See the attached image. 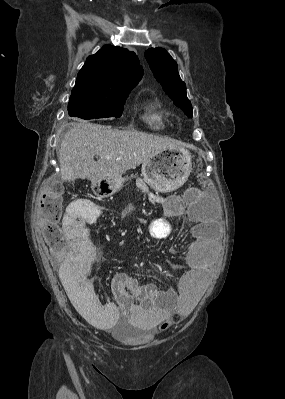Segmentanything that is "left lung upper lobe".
Here are the masks:
<instances>
[{"label":"left lung upper lobe","instance_id":"1","mask_svg":"<svg viewBox=\"0 0 285 399\" xmlns=\"http://www.w3.org/2000/svg\"><path fill=\"white\" fill-rule=\"evenodd\" d=\"M145 58L164 91L188 117H192L191 102L186 96V85L178 74V65L163 48H150Z\"/></svg>","mask_w":285,"mask_h":399}]
</instances>
